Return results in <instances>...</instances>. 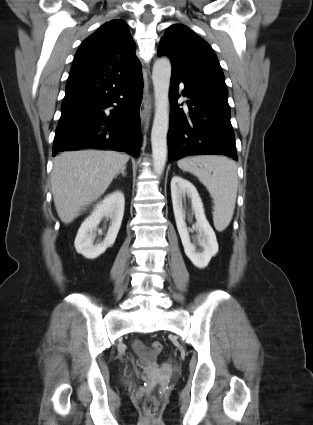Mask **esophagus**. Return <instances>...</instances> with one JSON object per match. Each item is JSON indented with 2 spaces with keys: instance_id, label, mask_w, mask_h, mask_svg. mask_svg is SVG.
<instances>
[{
  "instance_id": "1",
  "label": "esophagus",
  "mask_w": 313,
  "mask_h": 425,
  "mask_svg": "<svg viewBox=\"0 0 313 425\" xmlns=\"http://www.w3.org/2000/svg\"><path fill=\"white\" fill-rule=\"evenodd\" d=\"M151 104H152L151 96L150 95H144L142 103H141V107H140V118H141L142 123L145 122V120L147 119V117L150 113Z\"/></svg>"
}]
</instances>
